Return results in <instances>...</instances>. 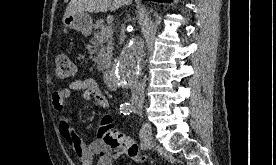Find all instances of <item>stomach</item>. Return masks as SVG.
Instances as JSON below:
<instances>
[{
  "label": "stomach",
  "mask_w": 276,
  "mask_h": 165,
  "mask_svg": "<svg viewBox=\"0 0 276 165\" xmlns=\"http://www.w3.org/2000/svg\"><path fill=\"white\" fill-rule=\"evenodd\" d=\"M63 24L66 28L74 29L88 36L92 31L93 20L87 13H76L63 17Z\"/></svg>",
  "instance_id": "stomach-1"
}]
</instances>
